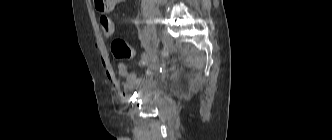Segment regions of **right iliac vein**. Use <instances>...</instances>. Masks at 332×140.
<instances>
[{"label":"right iliac vein","mask_w":332,"mask_h":140,"mask_svg":"<svg viewBox=\"0 0 332 140\" xmlns=\"http://www.w3.org/2000/svg\"><path fill=\"white\" fill-rule=\"evenodd\" d=\"M156 33V29H155V26L152 25L151 29H150V37H153Z\"/></svg>","instance_id":"1"}]
</instances>
